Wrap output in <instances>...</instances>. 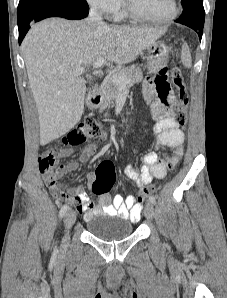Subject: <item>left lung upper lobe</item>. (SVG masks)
<instances>
[{
    "label": "left lung upper lobe",
    "instance_id": "left-lung-upper-lobe-1",
    "mask_svg": "<svg viewBox=\"0 0 227 298\" xmlns=\"http://www.w3.org/2000/svg\"><path fill=\"white\" fill-rule=\"evenodd\" d=\"M184 7L182 15L177 19V22L184 23L189 20L204 23L205 11L203 0H181Z\"/></svg>",
    "mask_w": 227,
    "mask_h": 298
}]
</instances>
